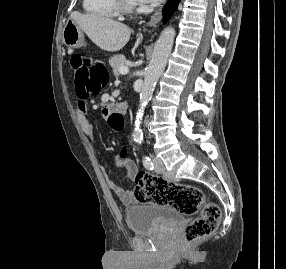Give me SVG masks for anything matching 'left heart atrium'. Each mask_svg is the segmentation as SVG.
<instances>
[{
  "label": "left heart atrium",
  "mask_w": 286,
  "mask_h": 269,
  "mask_svg": "<svg viewBox=\"0 0 286 269\" xmlns=\"http://www.w3.org/2000/svg\"><path fill=\"white\" fill-rule=\"evenodd\" d=\"M162 0H135L136 3L146 4V5H157Z\"/></svg>",
  "instance_id": "1"
}]
</instances>
